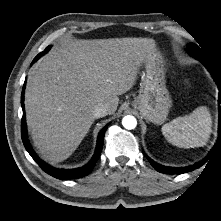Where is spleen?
<instances>
[{
    "instance_id": "obj_1",
    "label": "spleen",
    "mask_w": 221,
    "mask_h": 221,
    "mask_svg": "<svg viewBox=\"0 0 221 221\" xmlns=\"http://www.w3.org/2000/svg\"><path fill=\"white\" fill-rule=\"evenodd\" d=\"M211 115L205 106L196 108L192 113L173 119L162 126L166 140L179 148L204 146L212 132Z\"/></svg>"
}]
</instances>
